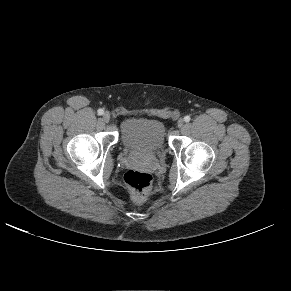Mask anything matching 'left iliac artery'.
Instances as JSON below:
<instances>
[{
	"label": "left iliac artery",
	"instance_id": "44dca946",
	"mask_svg": "<svg viewBox=\"0 0 291 291\" xmlns=\"http://www.w3.org/2000/svg\"><path fill=\"white\" fill-rule=\"evenodd\" d=\"M190 119H191V118H190V116H188V115L184 117L185 122H189Z\"/></svg>",
	"mask_w": 291,
	"mask_h": 291
}]
</instances>
